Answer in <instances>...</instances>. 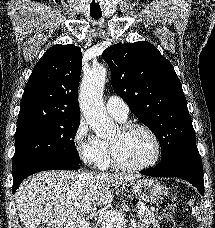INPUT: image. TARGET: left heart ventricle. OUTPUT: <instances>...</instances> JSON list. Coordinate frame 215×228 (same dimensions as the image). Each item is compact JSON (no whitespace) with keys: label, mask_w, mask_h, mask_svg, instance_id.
Instances as JSON below:
<instances>
[{"label":"left heart ventricle","mask_w":215,"mask_h":228,"mask_svg":"<svg viewBox=\"0 0 215 228\" xmlns=\"http://www.w3.org/2000/svg\"><path fill=\"white\" fill-rule=\"evenodd\" d=\"M109 140L114 143L120 161L126 165H140L153 153V144L149 135L140 128L126 132L118 128Z\"/></svg>","instance_id":"b2bd125f"}]
</instances>
